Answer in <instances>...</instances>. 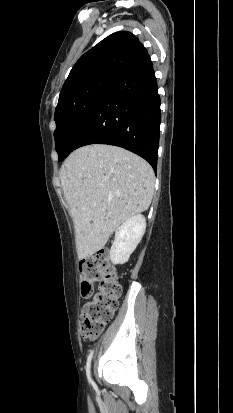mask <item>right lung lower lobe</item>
Segmentation results:
<instances>
[{
  "label": "right lung lower lobe",
  "instance_id": "obj_1",
  "mask_svg": "<svg viewBox=\"0 0 233 413\" xmlns=\"http://www.w3.org/2000/svg\"><path fill=\"white\" fill-rule=\"evenodd\" d=\"M160 97L150 56L116 78L77 134L73 150L89 144L125 148L157 170Z\"/></svg>",
  "mask_w": 233,
  "mask_h": 413
}]
</instances>
